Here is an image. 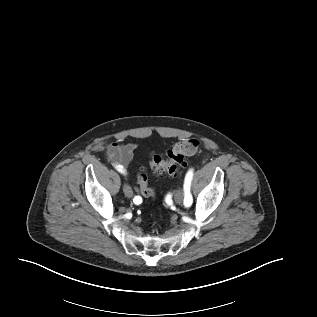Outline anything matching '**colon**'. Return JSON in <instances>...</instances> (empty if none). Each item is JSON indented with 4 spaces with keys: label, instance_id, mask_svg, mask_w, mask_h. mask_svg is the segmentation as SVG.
Listing matches in <instances>:
<instances>
[{
    "label": "colon",
    "instance_id": "colon-1",
    "mask_svg": "<svg viewBox=\"0 0 317 317\" xmlns=\"http://www.w3.org/2000/svg\"><path fill=\"white\" fill-rule=\"evenodd\" d=\"M199 148V142L194 139L182 140L175 143L165 155H153L149 161L152 171L156 175L175 176L180 166L185 162L186 157L193 155ZM141 193L147 198H154L155 190L149 186L147 175L142 170L136 175Z\"/></svg>",
    "mask_w": 317,
    "mask_h": 317
}]
</instances>
